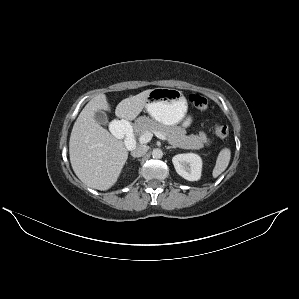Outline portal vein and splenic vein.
<instances>
[{"label": "portal vein and splenic vein", "instance_id": "18ae733b", "mask_svg": "<svg viewBox=\"0 0 299 299\" xmlns=\"http://www.w3.org/2000/svg\"><path fill=\"white\" fill-rule=\"evenodd\" d=\"M153 133H154L155 136H157L159 139L164 140V141L167 140L166 137H165L162 133L157 132V131H155V132H153ZM153 133L146 132V133L140 135V137H139V142H140L141 144H146V143L150 142L151 139H152V137H153Z\"/></svg>", "mask_w": 299, "mask_h": 299}]
</instances>
